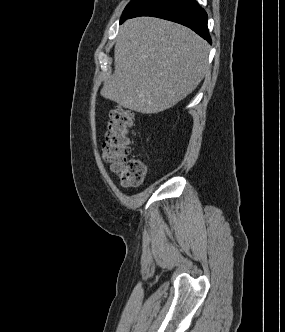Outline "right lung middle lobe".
Wrapping results in <instances>:
<instances>
[{
    "instance_id": "right-lung-middle-lobe-1",
    "label": "right lung middle lobe",
    "mask_w": 285,
    "mask_h": 332,
    "mask_svg": "<svg viewBox=\"0 0 285 332\" xmlns=\"http://www.w3.org/2000/svg\"><path fill=\"white\" fill-rule=\"evenodd\" d=\"M148 0H132L123 11L120 22L127 19L133 12L143 6Z\"/></svg>"
}]
</instances>
